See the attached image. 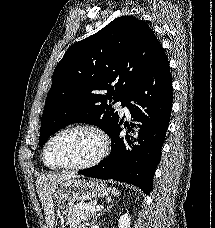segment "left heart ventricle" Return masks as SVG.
I'll list each match as a JSON object with an SVG mask.
<instances>
[{
    "mask_svg": "<svg viewBox=\"0 0 215 228\" xmlns=\"http://www.w3.org/2000/svg\"><path fill=\"white\" fill-rule=\"evenodd\" d=\"M99 148V139L93 132L72 130L61 134L50 144L47 161L54 167L79 164L91 159Z\"/></svg>",
    "mask_w": 215,
    "mask_h": 228,
    "instance_id": "left-heart-ventricle-1",
    "label": "left heart ventricle"
}]
</instances>
